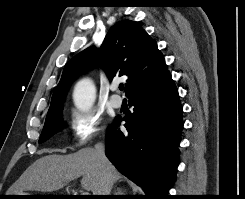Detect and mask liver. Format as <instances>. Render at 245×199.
<instances>
[{"label":"liver","instance_id":"6515ba94","mask_svg":"<svg viewBox=\"0 0 245 199\" xmlns=\"http://www.w3.org/2000/svg\"><path fill=\"white\" fill-rule=\"evenodd\" d=\"M108 171L112 185L121 175L109 162ZM103 167L95 149L83 148L69 155L51 154L36 160L11 187L9 193L24 191L53 192L82 176L81 186L98 195L102 185Z\"/></svg>","mask_w":245,"mask_h":199}]
</instances>
